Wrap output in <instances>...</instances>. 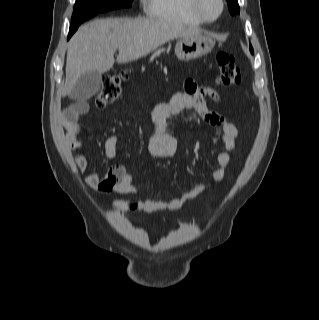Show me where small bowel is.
Here are the masks:
<instances>
[{
    "instance_id": "obj_1",
    "label": "small bowel",
    "mask_w": 319,
    "mask_h": 320,
    "mask_svg": "<svg viewBox=\"0 0 319 320\" xmlns=\"http://www.w3.org/2000/svg\"><path fill=\"white\" fill-rule=\"evenodd\" d=\"M207 98L216 102L220 101L218 93L212 87L197 88L192 81H187L184 92L174 94L169 101L159 105L154 110L151 117L152 130L147 137V146L154 157H173L177 150V141L173 136L162 131V122L167 116L177 115L185 110L193 111L203 122L219 129L218 139L225 147V150L215 154L218 167L213 170L211 180L192 184L181 193L167 199L155 200L144 197L137 203L140 210L148 213L179 210L186 202L224 180L225 170L230 164V155L235 149L238 130L228 118L208 108ZM88 111L89 106L86 102H78L61 118L66 144L69 149L77 152L75 161L81 173L87 169L88 162L82 152L85 132L79 120ZM118 140L119 137L117 135H111L106 139L104 143V156L106 159L111 160L116 157ZM85 184L103 194L117 192L124 195H139L135 180L123 169L121 171H113V167H111L104 174L95 170L86 176ZM116 204L117 201H111V205Z\"/></svg>"
}]
</instances>
